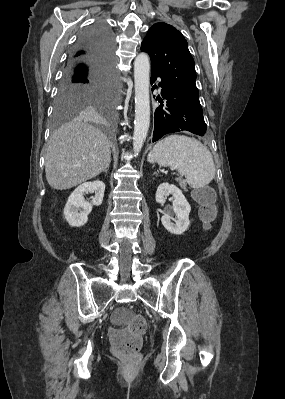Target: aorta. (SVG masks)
<instances>
[{
  "mask_svg": "<svg viewBox=\"0 0 285 399\" xmlns=\"http://www.w3.org/2000/svg\"><path fill=\"white\" fill-rule=\"evenodd\" d=\"M149 73V56L146 53H140L134 61L135 121L133 152L135 156L140 153L150 126Z\"/></svg>",
  "mask_w": 285,
  "mask_h": 399,
  "instance_id": "1",
  "label": "aorta"
}]
</instances>
